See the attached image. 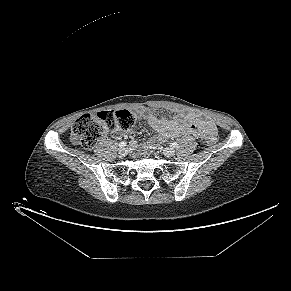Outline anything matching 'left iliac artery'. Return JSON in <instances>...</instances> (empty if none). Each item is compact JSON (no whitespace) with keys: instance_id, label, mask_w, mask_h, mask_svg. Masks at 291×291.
Segmentation results:
<instances>
[{"instance_id":"left-iliac-artery-1","label":"left iliac artery","mask_w":291,"mask_h":291,"mask_svg":"<svg viewBox=\"0 0 291 291\" xmlns=\"http://www.w3.org/2000/svg\"><path fill=\"white\" fill-rule=\"evenodd\" d=\"M171 147L178 148V144L176 142H174V143L171 144Z\"/></svg>"}]
</instances>
